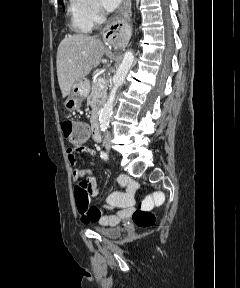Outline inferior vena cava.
I'll return each instance as SVG.
<instances>
[{
  "instance_id": "602c4592",
  "label": "inferior vena cava",
  "mask_w": 240,
  "mask_h": 288,
  "mask_svg": "<svg viewBox=\"0 0 240 288\" xmlns=\"http://www.w3.org/2000/svg\"><path fill=\"white\" fill-rule=\"evenodd\" d=\"M105 138H106V140L110 139V133L109 132L106 133Z\"/></svg>"
}]
</instances>
